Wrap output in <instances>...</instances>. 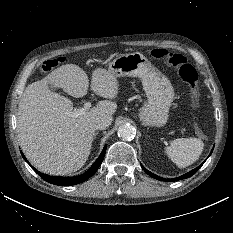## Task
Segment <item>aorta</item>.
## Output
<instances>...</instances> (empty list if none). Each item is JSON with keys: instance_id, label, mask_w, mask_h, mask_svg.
<instances>
[{"instance_id": "762f6f07", "label": "aorta", "mask_w": 233, "mask_h": 233, "mask_svg": "<svg viewBox=\"0 0 233 233\" xmlns=\"http://www.w3.org/2000/svg\"><path fill=\"white\" fill-rule=\"evenodd\" d=\"M135 128L130 124L121 125L118 129V136L122 140H132L135 137Z\"/></svg>"}]
</instances>
